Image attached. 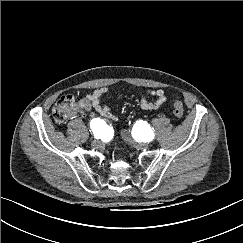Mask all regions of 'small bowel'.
<instances>
[{
	"instance_id": "obj_1",
	"label": "small bowel",
	"mask_w": 243,
	"mask_h": 243,
	"mask_svg": "<svg viewBox=\"0 0 243 243\" xmlns=\"http://www.w3.org/2000/svg\"><path fill=\"white\" fill-rule=\"evenodd\" d=\"M108 88L107 87H101L96 89L91 94L87 95L85 98L81 99L76 109L74 110V114L77 113H89L92 109L95 110L99 115L102 117L109 119V120H115L116 115L111 111L110 107L102 102V96L107 93ZM147 94L149 96L155 97L154 102L148 101L145 95H141L139 105L143 110H156L163 106L166 101L167 97L162 89H152L147 91ZM112 133L111 128L109 126H106L105 128V134L107 136H110Z\"/></svg>"
}]
</instances>
